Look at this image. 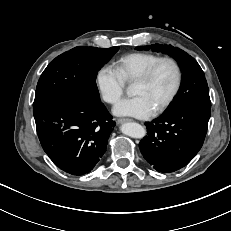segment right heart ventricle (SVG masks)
Masks as SVG:
<instances>
[{
    "mask_svg": "<svg viewBox=\"0 0 231 231\" xmlns=\"http://www.w3.org/2000/svg\"><path fill=\"white\" fill-rule=\"evenodd\" d=\"M161 58L159 55L148 52H134L120 57L114 68L125 82L134 81L149 66Z\"/></svg>",
    "mask_w": 231,
    "mask_h": 231,
    "instance_id": "right-heart-ventricle-1",
    "label": "right heart ventricle"
}]
</instances>
